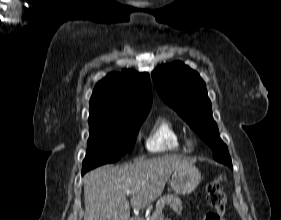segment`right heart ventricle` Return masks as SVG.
Here are the masks:
<instances>
[{
    "label": "right heart ventricle",
    "instance_id": "e07e8e85",
    "mask_svg": "<svg viewBox=\"0 0 281 220\" xmlns=\"http://www.w3.org/2000/svg\"><path fill=\"white\" fill-rule=\"evenodd\" d=\"M145 145L151 153L187 151L182 132L166 116L156 118Z\"/></svg>",
    "mask_w": 281,
    "mask_h": 220
}]
</instances>
